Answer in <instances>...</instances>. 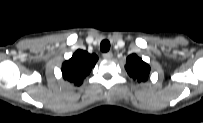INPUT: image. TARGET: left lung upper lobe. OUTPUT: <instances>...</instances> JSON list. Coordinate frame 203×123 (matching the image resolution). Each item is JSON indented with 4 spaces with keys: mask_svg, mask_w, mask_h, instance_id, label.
<instances>
[{
    "mask_svg": "<svg viewBox=\"0 0 203 123\" xmlns=\"http://www.w3.org/2000/svg\"><path fill=\"white\" fill-rule=\"evenodd\" d=\"M125 69L129 76L134 78L138 82H144L148 80L150 66L136 54L128 56Z\"/></svg>",
    "mask_w": 203,
    "mask_h": 123,
    "instance_id": "5c2ea615",
    "label": "left lung upper lobe"
}]
</instances>
